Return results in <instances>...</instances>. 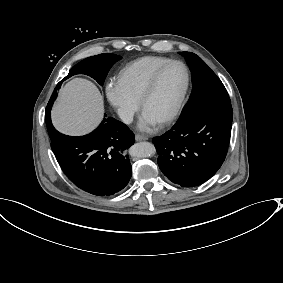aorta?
<instances>
[{
  "instance_id": "762f6f07",
  "label": "aorta",
  "mask_w": 283,
  "mask_h": 283,
  "mask_svg": "<svg viewBox=\"0 0 283 283\" xmlns=\"http://www.w3.org/2000/svg\"><path fill=\"white\" fill-rule=\"evenodd\" d=\"M129 153L133 157L145 158L154 155L156 153V149L150 142H139L130 148Z\"/></svg>"
}]
</instances>
